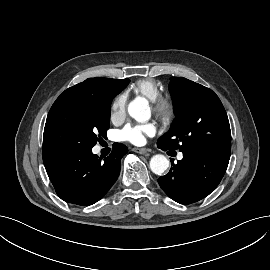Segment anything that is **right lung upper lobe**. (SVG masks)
Segmentation results:
<instances>
[{
	"label": "right lung upper lobe",
	"mask_w": 270,
	"mask_h": 270,
	"mask_svg": "<svg viewBox=\"0 0 270 270\" xmlns=\"http://www.w3.org/2000/svg\"><path fill=\"white\" fill-rule=\"evenodd\" d=\"M124 82V79L89 78L65 90L58 100L77 98L82 96L108 97L112 95Z\"/></svg>",
	"instance_id": "right-lung-upper-lobe-1"
}]
</instances>
